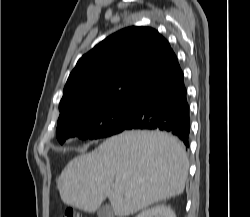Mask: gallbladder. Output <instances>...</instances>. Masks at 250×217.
<instances>
[{"label":"gallbladder","mask_w":250,"mask_h":217,"mask_svg":"<svg viewBox=\"0 0 250 217\" xmlns=\"http://www.w3.org/2000/svg\"><path fill=\"white\" fill-rule=\"evenodd\" d=\"M97 215L98 217H114L113 210L108 204L101 206L97 211Z\"/></svg>","instance_id":"1"}]
</instances>
